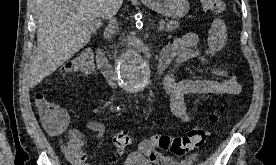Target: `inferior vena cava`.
Instances as JSON below:
<instances>
[{
	"label": "inferior vena cava",
	"instance_id": "inferior-vena-cava-1",
	"mask_svg": "<svg viewBox=\"0 0 276 165\" xmlns=\"http://www.w3.org/2000/svg\"><path fill=\"white\" fill-rule=\"evenodd\" d=\"M108 19H109L110 24L107 28V34L109 36H111V35H114L117 32L118 24H117V20L114 16H110Z\"/></svg>",
	"mask_w": 276,
	"mask_h": 165
}]
</instances>
